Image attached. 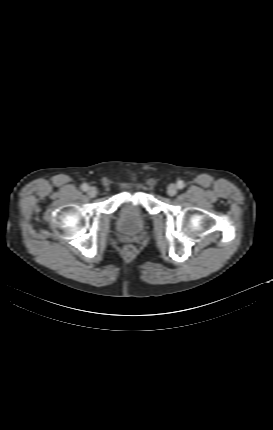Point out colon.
Listing matches in <instances>:
<instances>
[{
  "label": "colon",
  "instance_id": "colon-1",
  "mask_svg": "<svg viewBox=\"0 0 273 430\" xmlns=\"http://www.w3.org/2000/svg\"><path fill=\"white\" fill-rule=\"evenodd\" d=\"M134 252H135V248H134V246H133V245H126V246L124 247V249H123V253H124L126 256H131V255H133V254H134Z\"/></svg>",
  "mask_w": 273,
  "mask_h": 430
}]
</instances>
